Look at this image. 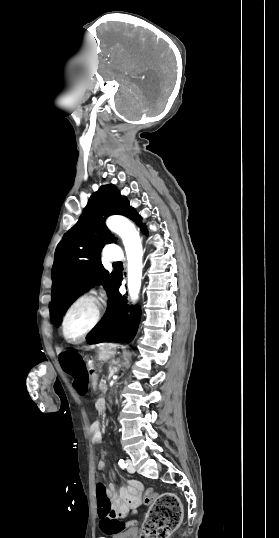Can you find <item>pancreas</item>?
<instances>
[{
	"instance_id": "cf45deb5",
	"label": "pancreas",
	"mask_w": 279,
	"mask_h": 538,
	"mask_svg": "<svg viewBox=\"0 0 279 538\" xmlns=\"http://www.w3.org/2000/svg\"><path fill=\"white\" fill-rule=\"evenodd\" d=\"M100 387V396H105V392L107 391L108 387V380L101 379L99 381Z\"/></svg>"
}]
</instances>
